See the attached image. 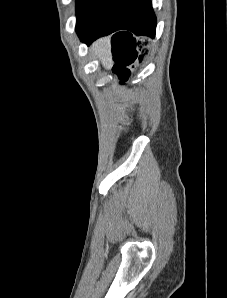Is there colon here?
<instances>
[{"instance_id": "obj_1", "label": "colon", "mask_w": 227, "mask_h": 298, "mask_svg": "<svg viewBox=\"0 0 227 298\" xmlns=\"http://www.w3.org/2000/svg\"><path fill=\"white\" fill-rule=\"evenodd\" d=\"M150 52V48L148 46H145L143 49V55L147 56ZM123 77H126V74H123Z\"/></svg>"}]
</instances>
